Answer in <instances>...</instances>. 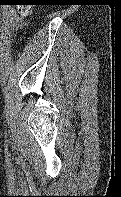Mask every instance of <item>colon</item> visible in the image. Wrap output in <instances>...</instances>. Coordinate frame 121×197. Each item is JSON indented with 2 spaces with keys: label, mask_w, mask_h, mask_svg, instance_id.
<instances>
[{
  "label": "colon",
  "mask_w": 121,
  "mask_h": 197,
  "mask_svg": "<svg viewBox=\"0 0 121 197\" xmlns=\"http://www.w3.org/2000/svg\"><path fill=\"white\" fill-rule=\"evenodd\" d=\"M22 4L19 6V11L23 15H27L32 7L31 2H34L33 0H21Z\"/></svg>",
  "instance_id": "colon-1"
}]
</instances>
